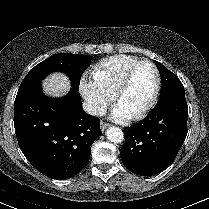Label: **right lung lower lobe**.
Instances as JSON below:
<instances>
[{
  "label": "right lung lower lobe",
  "mask_w": 209,
  "mask_h": 209,
  "mask_svg": "<svg viewBox=\"0 0 209 209\" xmlns=\"http://www.w3.org/2000/svg\"><path fill=\"white\" fill-rule=\"evenodd\" d=\"M14 127L21 151L42 174L68 179L88 163L91 145L102 134L100 120L87 114L78 89L59 99L41 91V82L18 91Z\"/></svg>",
  "instance_id": "1"
}]
</instances>
